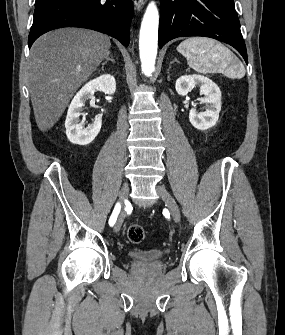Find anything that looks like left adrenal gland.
Wrapping results in <instances>:
<instances>
[{
    "label": "left adrenal gland",
    "instance_id": "obj_1",
    "mask_svg": "<svg viewBox=\"0 0 285 335\" xmlns=\"http://www.w3.org/2000/svg\"><path fill=\"white\" fill-rule=\"evenodd\" d=\"M174 62H178L177 58H174L173 62H170V64H174Z\"/></svg>",
    "mask_w": 285,
    "mask_h": 335
}]
</instances>
